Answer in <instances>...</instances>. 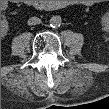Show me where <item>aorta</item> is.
<instances>
[{
	"label": "aorta",
	"instance_id": "obj_1",
	"mask_svg": "<svg viewBox=\"0 0 109 109\" xmlns=\"http://www.w3.org/2000/svg\"><path fill=\"white\" fill-rule=\"evenodd\" d=\"M61 17L60 16H53L50 19V26L53 28H57L61 25Z\"/></svg>",
	"mask_w": 109,
	"mask_h": 109
}]
</instances>
